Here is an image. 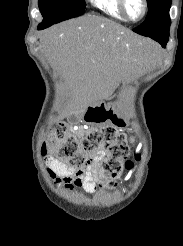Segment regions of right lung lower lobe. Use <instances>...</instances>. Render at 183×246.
Wrapping results in <instances>:
<instances>
[{
    "label": "right lung lower lobe",
    "instance_id": "1",
    "mask_svg": "<svg viewBox=\"0 0 183 246\" xmlns=\"http://www.w3.org/2000/svg\"><path fill=\"white\" fill-rule=\"evenodd\" d=\"M47 27H49V25L40 24L38 29H44V28H47Z\"/></svg>",
    "mask_w": 183,
    "mask_h": 246
}]
</instances>
